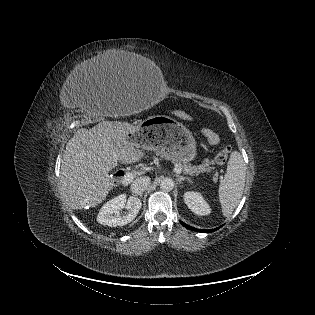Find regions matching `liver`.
<instances>
[{
  "instance_id": "6515ba94",
  "label": "liver",
  "mask_w": 315,
  "mask_h": 315,
  "mask_svg": "<svg viewBox=\"0 0 315 315\" xmlns=\"http://www.w3.org/2000/svg\"><path fill=\"white\" fill-rule=\"evenodd\" d=\"M119 63L106 64L102 60L114 69ZM135 129L128 122L102 121L89 130L80 128L75 132L66 144L60 169L61 189L71 209L102 203L110 191L108 173L118 161L132 164L144 157L140 146L129 137Z\"/></svg>"
}]
</instances>
